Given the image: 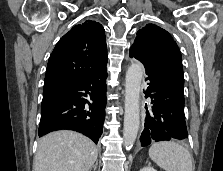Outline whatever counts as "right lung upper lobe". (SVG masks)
<instances>
[{
	"label": "right lung upper lobe",
	"mask_w": 223,
	"mask_h": 171,
	"mask_svg": "<svg viewBox=\"0 0 223 171\" xmlns=\"http://www.w3.org/2000/svg\"><path fill=\"white\" fill-rule=\"evenodd\" d=\"M106 64L103 26L92 20L75 25L59 40L49 58L43 92L84 81Z\"/></svg>",
	"instance_id": "cb5924a9"
}]
</instances>
